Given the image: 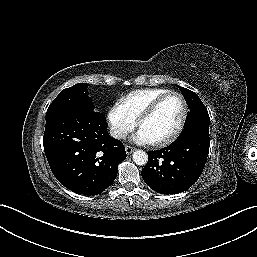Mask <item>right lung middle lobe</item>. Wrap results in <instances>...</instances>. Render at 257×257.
Returning <instances> with one entry per match:
<instances>
[{"mask_svg": "<svg viewBox=\"0 0 257 257\" xmlns=\"http://www.w3.org/2000/svg\"><path fill=\"white\" fill-rule=\"evenodd\" d=\"M65 106H76L94 110L92 102L87 94V84L78 83L72 87L63 89L59 95L50 104L47 111ZM105 119L103 113L96 112Z\"/></svg>", "mask_w": 257, "mask_h": 257, "instance_id": "dd1d6c3e", "label": "right lung middle lobe"}]
</instances>
